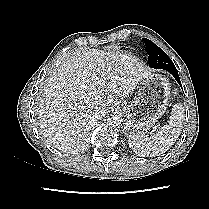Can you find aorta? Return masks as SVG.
Listing matches in <instances>:
<instances>
[{"label": "aorta", "instance_id": "obj_1", "mask_svg": "<svg viewBox=\"0 0 209 209\" xmlns=\"http://www.w3.org/2000/svg\"><path fill=\"white\" fill-rule=\"evenodd\" d=\"M107 122L112 127H119L122 124L123 119L119 114H110L107 118Z\"/></svg>", "mask_w": 209, "mask_h": 209}]
</instances>
